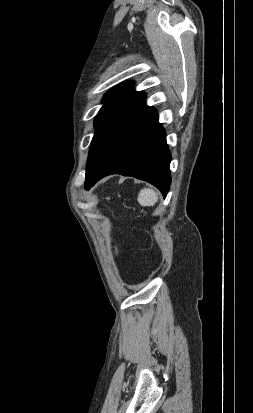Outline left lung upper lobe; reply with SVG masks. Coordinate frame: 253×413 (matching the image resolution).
<instances>
[{
  "label": "left lung upper lobe",
  "instance_id": "1",
  "mask_svg": "<svg viewBox=\"0 0 253 413\" xmlns=\"http://www.w3.org/2000/svg\"><path fill=\"white\" fill-rule=\"evenodd\" d=\"M145 94L133 89V82L109 90L94 122L86 166V179L96 174L128 135L154 110L145 103Z\"/></svg>",
  "mask_w": 253,
  "mask_h": 413
}]
</instances>
